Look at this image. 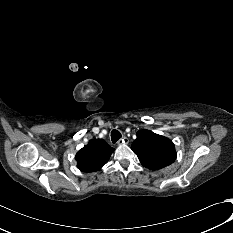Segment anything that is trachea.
I'll list each match as a JSON object with an SVG mask.
<instances>
[{"instance_id":"trachea-1","label":"trachea","mask_w":233,"mask_h":233,"mask_svg":"<svg viewBox=\"0 0 233 233\" xmlns=\"http://www.w3.org/2000/svg\"><path fill=\"white\" fill-rule=\"evenodd\" d=\"M120 138H121V133L116 129L112 130L111 132L112 142L116 143Z\"/></svg>"}]
</instances>
